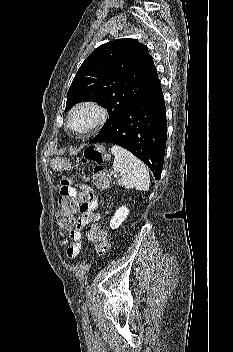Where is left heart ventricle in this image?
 <instances>
[{
    "label": "left heart ventricle",
    "mask_w": 233,
    "mask_h": 352,
    "mask_svg": "<svg viewBox=\"0 0 233 352\" xmlns=\"http://www.w3.org/2000/svg\"><path fill=\"white\" fill-rule=\"evenodd\" d=\"M93 118V113L91 111H80L74 117L73 123L77 128L85 127Z\"/></svg>",
    "instance_id": "obj_1"
}]
</instances>
